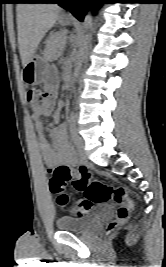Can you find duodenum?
<instances>
[{"mask_svg": "<svg viewBox=\"0 0 166 267\" xmlns=\"http://www.w3.org/2000/svg\"><path fill=\"white\" fill-rule=\"evenodd\" d=\"M70 80H71L70 74L69 73H66L65 76H64L65 83L66 84H69L70 83Z\"/></svg>", "mask_w": 166, "mask_h": 267, "instance_id": "obj_1", "label": "duodenum"}]
</instances>
